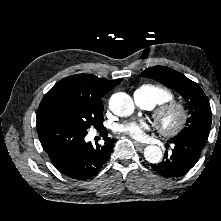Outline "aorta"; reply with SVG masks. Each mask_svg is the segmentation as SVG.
Returning <instances> with one entry per match:
<instances>
[{
	"label": "aorta",
	"mask_w": 221,
	"mask_h": 221,
	"mask_svg": "<svg viewBox=\"0 0 221 221\" xmlns=\"http://www.w3.org/2000/svg\"><path fill=\"white\" fill-rule=\"evenodd\" d=\"M111 111L117 116H129L134 111L132 98L123 92L115 93L109 101ZM144 157L149 163L157 164L162 159V150L155 145H149L144 150Z\"/></svg>",
	"instance_id": "aorta-1"
}]
</instances>
